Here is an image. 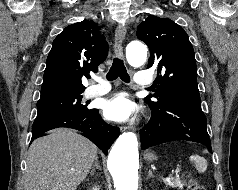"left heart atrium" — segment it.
<instances>
[{
    "label": "left heart atrium",
    "instance_id": "obj_1",
    "mask_svg": "<svg viewBox=\"0 0 238 190\" xmlns=\"http://www.w3.org/2000/svg\"><path fill=\"white\" fill-rule=\"evenodd\" d=\"M137 112L136 103L127 93H118L107 99L103 104V113L108 120L125 122Z\"/></svg>",
    "mask_w": 238,
    "mask_h": 190
}]
</instances>
